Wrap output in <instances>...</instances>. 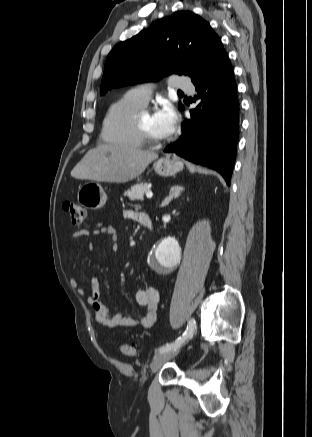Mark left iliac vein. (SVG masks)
Instances as JSON below:
<instances>
[{"label": "left iliac vein", "instance_id": "1", "mask_svg": "<svg viewBox=\"0 0 312 437\" xmlns=\"http://www.w3.org/2000/svg\"><path fill=\"white\" fill-rule=\"evenodd\" d=\"M178 352H179V348H175L156 355V357L151 363L152 372L158 371L167 361L174 358L178 354Z\"/></svg>", "mask_w": 312, "mask_h": 437}]
</instances>
